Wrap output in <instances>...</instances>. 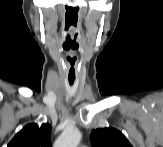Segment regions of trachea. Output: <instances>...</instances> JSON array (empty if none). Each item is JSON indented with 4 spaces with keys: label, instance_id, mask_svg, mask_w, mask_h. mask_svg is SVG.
<instances>
[{
    "label": "trachea",
    "instance_id": "trachea-1",
    "mask_svg": "<svg viewBox=\"0 0 163 147\" xmlns=\"http://www.w3.org/2000/svg\"><path fill=\"white\" fill-rule=\"evenodd\" d=\"M73 82H74L73 80H69L70 85H73Z\"/></svg>",
    "mask_w": 163,
    "mask_h": 147
}]
</instances>
